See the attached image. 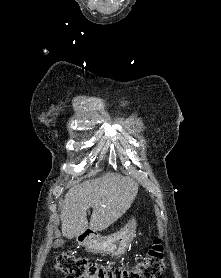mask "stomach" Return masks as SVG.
<instances>
[{
	"label": "stomach",
	"instance_id": "obj_1",
	"mask_svg": "<svg viewBox=\"0 0 221 278\" xmlns=\"http://www.w3.org/2000/svg\"><path fill=\"white\" fill-rule=\"evenodd\" d=\"M136 220L132 217L119 232L100 238L95 233L77 236L87 251L92 253L111 254L120 256L126 252L136 232Z\"/></svg>",
	"mask_w": 221,
	"mask_h": 278
}]
</instances>
